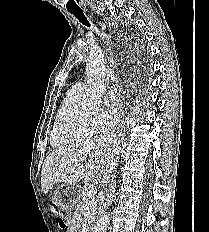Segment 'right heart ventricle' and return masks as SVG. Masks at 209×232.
<instances>
[{"label":"right heart ventricle","instance_id":"obj_1","mask_svg":"<svg viewBox=\"0 0 209 232\" xmlns=\"http://www.w3.org/2000/svg\"><path fill=\"white\" fill-rule=\"evenodd\" d=\"M83 93L71 88L66 93L55 118L50 136L54 148H66L93 137L94 119L80 109Z\"/></svg>","mask_w":209,"mask_h":232}]
</instances>
